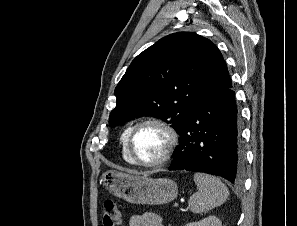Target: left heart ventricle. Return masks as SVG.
I'll return each mask as SVG.
<instances>
[{
  "label": "left heart ventricle",
  "mask_w": 297,
  "mask_h": 226,
  "mask_svg": "<svg viewBox=\"0 0 297 226\" xmlns=\"http://www.w3.org/2000/svg\"><path fill=\"white\" fill-rule=\"evenodd\" d=\"M167 143V135L157 126L140 127L133 138V150L138 159L149 162L157 159Z\"/></svg>",
  "instance_id": "left-heart-ventricle-1"
}]
</instances>
